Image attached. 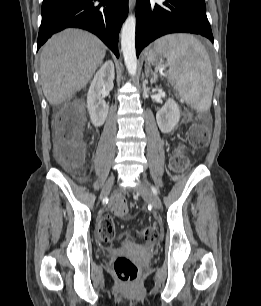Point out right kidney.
<instances>
[{"label": "right kidney", "instance_id": "right-kidney-1", "mask_svg": "<svg viewBox=\"0 0 261 306\" xmlns=\"http://www.w3.org/2000/svg\"><path fill=\"white\" fill-rule=\"evenodd\" d=\"M115 77L114 64L106 61L95 74L87 94V108L95 127L102 126L107 118L109 105L105 102V93L113 89Z\"/></svg>", "mask_w": 261, "mask_h": 306}]
</instances>
